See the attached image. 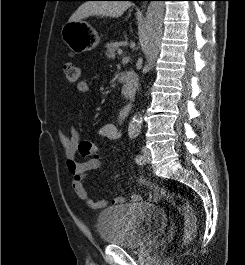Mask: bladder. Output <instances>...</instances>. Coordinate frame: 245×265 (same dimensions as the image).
<instances>
[{
	"instance_id": "31cf9c89",
	"label": "bladder",
	"mask_w": 245,
	"mask_h": 265,
	"mask_svg": "<svg viewBox=\"0 0 245 265\" xmlns=\"http://www.w3.org/2000/svg\"><path fill=\"white\" fill-rule=\"evenodd\" d=\"M164 209L151 203H132L103 209L96 228L103 242L140 248L158 236L167 226Z\"/></svg>"
}]
</instances>
